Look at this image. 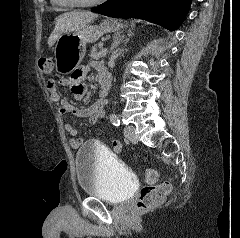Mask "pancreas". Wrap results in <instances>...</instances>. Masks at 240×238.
I'll return each instance as SVG.
<instances>
[{"label": "pancreas", "mask_w": 240, "mask_h": 238, "mask_svg": "<svg viewBox=\"0 0 240 238\" xmlns=\"http://www.w3.org/2000/svg\"><path fill=\"white\" fill-rule=\"evenodd\" d=\"M90 57H91L92 59L98 60V59H100V58L103 57V56H102V51H98V50H97V47L94 46V47H92V50H91V53H90Z\"/></svg>", "instance_id": "1"}]
</instances>
